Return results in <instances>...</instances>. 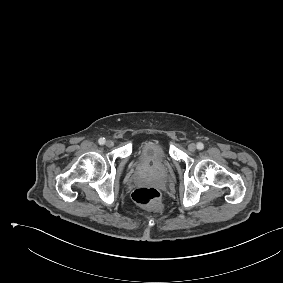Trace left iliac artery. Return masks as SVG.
Returning <instances> with one entry per match:
<instances>
[{"instance_id":"1","label":"left iliac artery","mask_w":283,"mask_h":283,"mask_svg":"<svg viewBox=\"0 0 283 283\" xmlns=\"http://www.w3.org/2000/svg\"><path fill=\"white\" fill-rule=\"evenodd\" d=\"M203 148H204L203 143L198 142V143H197V149L202 150Z\"/></svg>"}]
</instances>
